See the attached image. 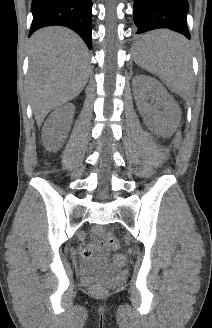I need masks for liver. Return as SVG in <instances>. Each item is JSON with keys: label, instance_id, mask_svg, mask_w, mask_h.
<instances>
[{"label": "liver", "instance_id": "6515ba94", "mask_svg": "<svg viewBox=\"0 0 212 328\" xmlns=\"http://www.w3.org/2000/svg\"><path fill=\"white\" fill-rule=\"evenodd\" d=\"M28 92L37 125L54 108L75 98L90 73L88 50L70 29L47 27L30 40Z\"/></svg>", "mask_w": 212, "mask_h": 328}]
</instances>
